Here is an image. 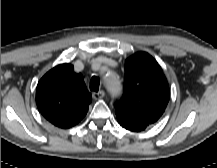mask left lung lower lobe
<instances>
[{"label":"left lung lower lobe","mask_w":217,"mask_h":168,"mask_svg":"<svg viewBox=\"0 0 217 168\" xmlns=\"http://www.w3.org/2000/svg\"><path fill=\"white\" fill-rule=\"evenodd\" d=\"M122 127H124V126H122ZM125 129H127V130H131V128H129V127H124ZM132 131V130H131Z\"/></svg>","instance_id":"1"}]
</instances>
